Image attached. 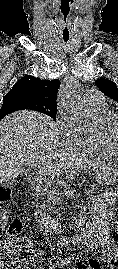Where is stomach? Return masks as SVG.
Here are the masks:
<instances>
[{
	"mask_svg": "<svg viewBox=\"0 0 118 269\" xmlns=\"http://www.w3.org/2000/svg\"><path fill=\"white\" fill-rule=\"evenodd\" d=\"M93 170L95 179L100 184L112 185L118 177V170L111 164L101 163Z\"/></svg>",
	"mask_w": 118,
	"mask_h": 269,
	"instance_id": "0dacf381",
	"label": "stomach"
}]
</instances>
